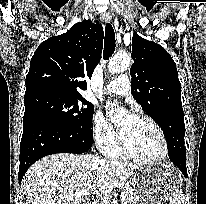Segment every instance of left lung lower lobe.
Instances as JSON below:
<instances>
[{
  "label": "left lung lower lobe",
  "mask_w": 206,
  "mask_h": 204,
  "mask_svg": "<svg viewBox=\"0 0 206 204\" xmlns=\"http://www.w3.org/2000/svg\"><path fill=\"white\" fill-rule=\"evenodd\" d=\"M167 144L170 161L180 169L185 177H187L186 150L183 142L173 141Z\"/></svg>",
  "instance_id": "obj_1"
}]
</instances>
